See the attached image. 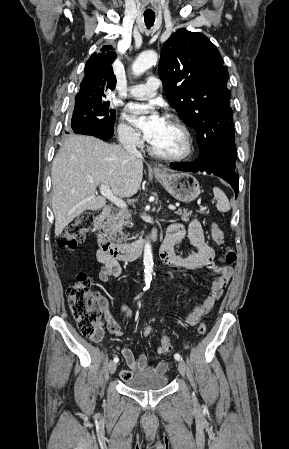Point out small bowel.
I'll return each instance as SVG.
<instances>
[{
  "instance_id": "small-bowel-1",
  "label": "small bowel",
  "mask_w": 289,
  "mask_h": 449,
  "mask_svg": "<svg viewBox=\"0 0 289 449\" xmlns=\"http://www.w3.org/2000/svg\"><path fill=\"white\" fill-rule=\"evenodd\" d=\"M184 235V228L178 224H173L168 228L167 236L160 250L162 261L174 269L196 270L207 268L218 275L213 281L208 296L202 304L195 307L186 318L187 325L195 326L201 317L208 313L213 308L216 301L222 296L226 285L233 275V268L231 266H220L215 263V250L205 242L203 230L197 220H192L188 226L189 238L197 250L186 256L178 254L174 248L175 243L181 240ZM97 260L102 265L98 273L100 282H107L112 277L119 278L121 276L122 269L117 260L103 253L100 249L97 251ZM101 300L102 308L104 310V321L107 329L114 336L120 337L122 335L120 326L108 311L106 300ZM120 309L127 317L131 315V311L126 304L122 303ZM103 333V327L100 324L98 333L91 339L94 342H99L103 337ZM117 349L120 351L128 365L127 369L120 372L121 378L124 381L132 378L136 373L164 374L168 369V363L165 360H161L156 366H149L147 355L140 354L138 357H135L133 351L128 347H117ZM157 354L163 355L159 350V347L157 349Z\"/></svg>"
}]
</instances>
